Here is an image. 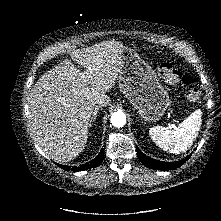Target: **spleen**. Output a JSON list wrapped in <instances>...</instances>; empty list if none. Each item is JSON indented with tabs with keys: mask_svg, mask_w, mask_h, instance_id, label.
Returning a JSON list of instances; mask_svg holds the SVG:
<instances>
[{
	"mask_svg": "<svg viewBox=\"0 0 221 221\" xmlns=\"http://www.w3.org/2000/svg\"><path fill=\"white\" fill-rule=\"evenodd\" d=\"M201 127V110L198 109L187 117L176 129L169 130L162 126L151 127L149 135L163 150L178 154L185 152L193 144Z\"/></svg>",
	"mask_w": 221,
	"mask_h": 221,
	"instance_id": "obj_1",
	"label": "spleen"
}]
</instances>
